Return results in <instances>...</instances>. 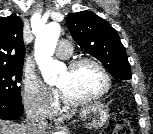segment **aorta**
Masks as SVG:
<instances>
[{
  "instance_id": "1",
  "label": "aorta",
  "mask_w": 153,
  "mask_h": 134,
  "mask_svg": "<svg viewBox=\"0 0 153 134\" xmlns=\"http://www.w3.org/2000/svg\"><path fill=\"white\" fill-rule=\"evenodd\" d=\"M60 35V25L50 23L36 35L35 59L41 71L44 81L47 84H54L57 81L61 69L60 62L52 58Z\"/></svg>"
}]
</instances>
